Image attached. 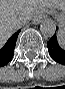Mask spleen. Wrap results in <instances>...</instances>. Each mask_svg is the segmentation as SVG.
<instances>
[{
  "label": "spleen",
  "instance_id": "obj_1",
  "mask_svg": "<svg viewBox=\"0 0 65 89\" xmlns=\"http://www.w3.org/2000/svg\"><path fill=\"white\" fill-rule=\"evenodd\" d=\"M60 41L62 43L65 42V38H64V34L63 33L60 34Z\"/></svg>",
  "mask_w": 65,
  "mask_h": 89
}]
</instances>
